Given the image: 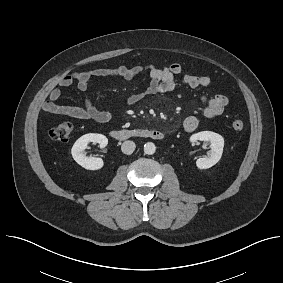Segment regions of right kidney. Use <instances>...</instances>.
Returning a JSON list of instances; mask_svg holds the SVG:
<instances>
[{
  "label": "right kidney",
  "mask_w": 283,
  "mask_h": 283,
  "mask_svg": "<svg viewBox=\"0 0 283 283\" xmlns=\"http://www.w3.org/2000/svg\"><path fill=\"white\" fill-rule=\"evenodd\" d=\"M90 142L98 143L101 148H104L108 144V139L102 134H85L74 143L71 149L72 157L80 166L87 170L101 169L104 165L101 158L86 156L85 149Z\"/></svg>",
  "instance_id": "ca27d5eb"
}]
</instances>
